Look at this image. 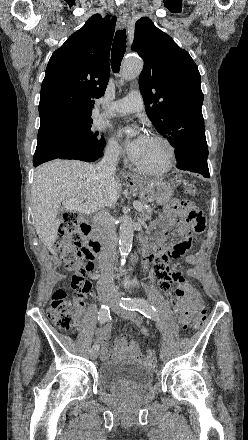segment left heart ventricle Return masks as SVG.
<instances>
[{"mask_svg": "<svg viewBox=\"0 0 248 440\" xmlns=\"http://www.w3.org/2000/svg\"><path fill=\"white\" fill-rule=\"evenodd\" d=\"M165 158V147L159 141L149 137L144 151L134 162L142 167L157 168L164 163Z\"/></svg>", "mask_w": 248, "mask_h": 440, "instance_id": "obj_1", "label": "left heart ventricle"}]
</instances>
